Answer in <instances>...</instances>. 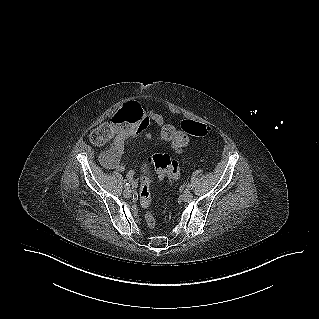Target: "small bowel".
<instances>
[{
    "label": "small bowel",
    "mask_w": 319,
    "mask_h": 319,
    "mask_svg": "<svg viewBox=\"0 0 319 319\" xmlns=\"http://www.w3.org/2000/svg\"><path fill=\"white\" fill-rule=\"evenodd\" d=\"M118 110L111 111L107 117L94 125L89 131V140L96 147H106L100 154L101 164L118 172H127L131 177V170H127L122 161L126 142L140 134L152 138L148 131L150 126L164 123L163 117L153 109L143 107L140 101H121ZM178 121V130L181 129ZM183 135H188L183 131ZM176 154L183 150L173 149Z\"/></svg>",
    "instance_id": "obj_1"
}]
</instances>
